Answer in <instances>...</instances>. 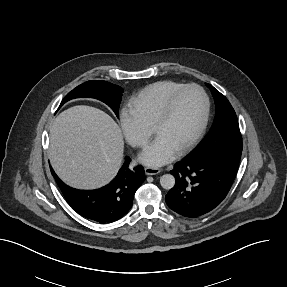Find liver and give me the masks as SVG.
<instances>
[{"label": "liver", "instance_id": "1", "mask_svg": "<svg viewBox=\"0 0 287 287\" xmlns=\"http://www.w3.org/2000/svg\"><path fill=\"white\" fill-rule=\"evenodd\" d=\"M124 141L117 123L100 109L79 105L60 113L50 129L49 159L69 186L96 189L122 164Z\"/></svg>", "mask_w": 287, "mask_h": 287}]
</instances>
